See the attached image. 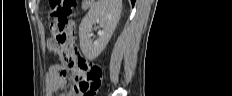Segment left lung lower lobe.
Instances as JSON below:
<instances>
[{
  "label": "left lung lower lobe",
  "instance_id": "left-lung-lower-lobe-1",
  "mask_svg": "<svg viewBox=\"0 0 232 96\" xmlns=\"http://www.w3.org/2000/svg\"><path fill=\"white\" fill-rule=\"evenodd\" d=\"M131 2H132V5L135 3V0H131Z\"/></svg>",
  "mask_w": 232,
  "mask_h": 96
}]
</instances>
